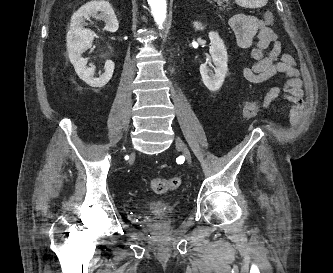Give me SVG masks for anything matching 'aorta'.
<instances>
[{
	"instance_id": "762f6f07",
	"label": "aorta",
	"mask_w": 333,
	"mask_h": 273,
	"mask_svg": "<svg viewBox=\"0 0 333 273\" xmlns=\"http://www.w3.org/2000/svg\"><path fill=\"white\" fill-rule=\"evenodd\" d=\"M154 20L159 29H162L167 18L166 0H148Z\"/></svg>"
}]
</instances>
